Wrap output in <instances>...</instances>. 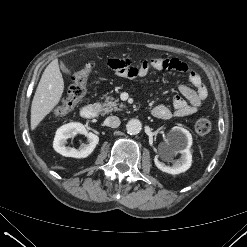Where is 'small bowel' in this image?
Returning a JSON list of instances; mask_svg holds the SVG:
<instances>
[{"label":"small bowel","mask_w":247,"mask_h":247,"mask_svg":"<svg viewBox=\"0 0 247 247\" xmlns=\"http://www.w3.org/2000/svg\"><path fill=\"white\" fill-rule=\"evenodd\" d=\"M107 64L118 76L128 79L145 77L151 69L173 70L188 74L193 88L181 84L179 86L181 95L172 98V109L162 104L155 106L152 115L158 119L168 120L172 117L192 115L197 112L208 94L200 75L177 58L157 57L144 60L139 65H133L130 59H110Z\"/></svg>","instance_id":"c3829d8e"}]
</instances>
